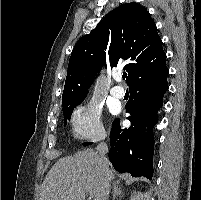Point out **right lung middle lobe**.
I'll use <instances>...</instances> for the list:
<instances>
[{"label":"right lung middle lobe","mask_w":201,"mask_h":200,"mask_svg":"<svg viewBox=\"0 0 201 200\" xmlns=\"http://www.w3.org/2000/svg\"><path fill=\"white\" fill-rule=\"evenodd\" d=\"M84 99H85V97L62 101L64 121H65L64 125H66L67 119L70 120V117H71V114H72L74 108L77 105H80Z\"/></svg>","instance_id":"dd1d6c3e"}]
</instances>
